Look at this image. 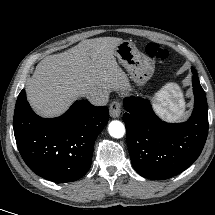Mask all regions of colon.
<instances>
[{"mask_svg": "<svg viewBox=\"0 0 215 215\" xmlns=\"http://www.w3.org/2000/svg\"><path fill=\"white\" fill-rule=\"evenodd\" d=\"M145 52L151 58H155L159 61H165L169 57V52L156 43H148L145 47Z\"/></svg>", "mask_w": 215, "mask_h": 215, "instance_id": "5ec220e1", "label": "colon"}]
</instances>
